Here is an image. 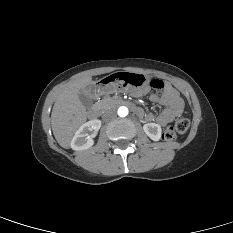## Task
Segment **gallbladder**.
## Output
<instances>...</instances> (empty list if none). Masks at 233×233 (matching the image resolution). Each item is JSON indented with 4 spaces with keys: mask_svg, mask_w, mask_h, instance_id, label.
Listing matches in <instances>:
<instances>
[{
    "mask_svg": "<svg viewBox=\"0 0 233 233\" xmlns=\"http://www.w3.org/2000/svg\"><path fill=\"white\" fill-rule=\"evenodd\" d=\"M79 99L86 108L92 107L93 99L88 94H86L84 91H80Z\"/></svg>",
    "mask_w": 233,
    "mask_h": 233,
    "instance_id": "obj_1",
    "label": "gallbladder"
}]
</instances>
